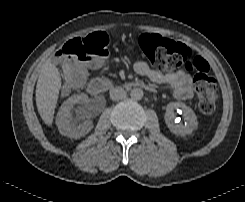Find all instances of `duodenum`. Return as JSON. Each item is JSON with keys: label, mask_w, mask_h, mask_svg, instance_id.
Returning a JSON list of instances; mask_svg holds the SVG:
<instances>
[{"label": "duodenum", "mask_w": 245, "mask_h": 202, "mask_svg": "<svg viewBox=\"0 0 245 202\" xmlns=\"http://www.w3.org/2000/svg\"><path fill=\"white\" fill-rule=\"evenodd\" d=\"M111 86H113V83L110 80L104 78H96L88 83V91L90 95L97 96ZM126 87L130 90L138 88L144 89L149 92H154L153 87L142 81L129 82L126 84Z\"/></svg>", "instance_id": "410a0bca"}]
</instances>
